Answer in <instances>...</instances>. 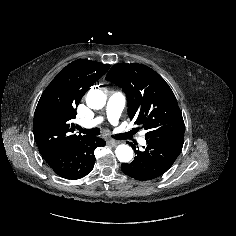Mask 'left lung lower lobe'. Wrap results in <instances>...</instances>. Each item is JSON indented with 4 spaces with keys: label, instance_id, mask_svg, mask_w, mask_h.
<instances>
[{
    "label": "left lung lower lobe",
    "instance_id": "left-lung-lower-lobe-1",
    "mask_svg": "<svg viewBox=\"0 0 236 236\" xmlns=\"http://www.w3.org/2000/svg\"><path fill=\"white\" fill-rule=\"evenodd\" d=\"M146 141L144 151L136 150L134 147L135 159L129 164L121 165L126 175L141 181L156 179L170 169L182 150L184 133Z\"/></svg>",
    "mask_w": 236,
    "mask_h": 236
}]
</instances>
